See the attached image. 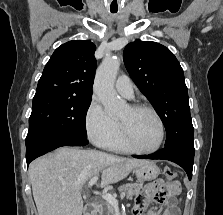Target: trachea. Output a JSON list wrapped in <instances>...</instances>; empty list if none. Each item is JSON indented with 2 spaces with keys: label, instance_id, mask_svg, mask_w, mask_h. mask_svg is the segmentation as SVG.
Wrapping results in <instances>:
<instances>
[{
  "label": "trachea",
  "instance_id": "trachea-1",
  "mask_svg": "<svg viewBox=\"0 0 223 215\" xmlns=\"http://www.w3.org/2000/svg\"><path fill=\"white\" fill-rule=\"evenodd\" d=\"M111 12H112V13H116V12H117V10H111Z\"/></svg>",
  "mask_w": 223,
  "mask_h": 215
}]
</instances>
